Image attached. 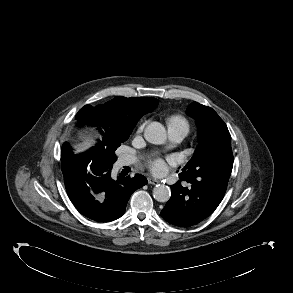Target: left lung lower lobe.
<instances>
[{
  "label": "left lung lower lobe",
  "instance_id": "0a47b994",
  "mask_svg": "<svg viewBox=\"0 0 293 293\" xmlns=\"http://www.w3.org/2000/svg\"><path fill=\"white\" fill-rule=\"evenodd\" d=\"M230 175L220 172L180 173V182L171 186L172 194L161 211L162 217L180 227H189L210 216L222 201Z\"/></svg>",
  "mask_w": 293,
  "mask_h": 293
}]
</instances>
